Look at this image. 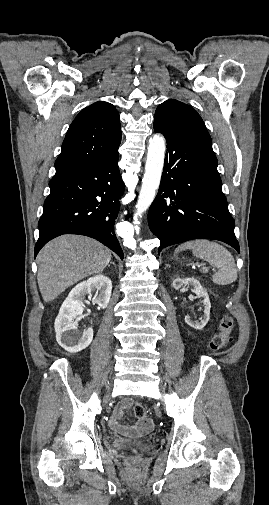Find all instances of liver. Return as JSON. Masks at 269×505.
<instances>
[{
	"instance_id": "liver-1",
	"label": "liver",
	"mask_w": 269,
	"mask_h": 505,
	"mask_svg": "<svg viewBox=\"0 0 269 505\" xmlns=\"http://www.w3.org/2000/svg\"><path fill=\"white\" fill-rule=\"evenodd\" d=\"M111 257L107 247L89 237L63 235L53 239L37 256V281L43 300L50 302L86 276L102 272Z\"/></svg>"
}]
</instances>
